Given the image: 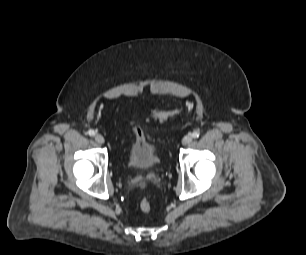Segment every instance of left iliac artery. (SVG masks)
Listing matches in <instances>:
<instances>
[{"mask_svg":"<svg viewBox=\"0 0 306 255\" xmlns=\"http://www.w3.org/2000/svg\"><path fill=\"white\" fill-rule=\"evenodd\" d=\"M199 135H200V133H199L198 131H194V132L192 133V137H193V138H198Z\"/></svg>","mask_w":306,"mask_h":255,"instance_id":"left-iliac-artery-1","label":"left iliac artery"}]
</instances>
